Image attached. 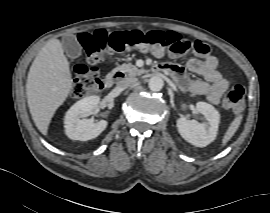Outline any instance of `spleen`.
Returning a JSON list of instances; mask_svg holds the SVG:
<instances>
[{"label":"spleen","instance_id":"1","mask_svg":"<svg viewBox=\"0 0 270 213\" xmlns=\"http://www.w3.org/2000/svg\"><path fill=\"white\" fill-rule=\"evenodd\" d=\"M241 120H242V116L239 115L232 121V123L230 124L229 128L227 129L223 137L222 145H225L232 138V136L235 134V132L239 128Z\"/></svg>","mask_w":270,"mask_h":213}]
</instances>
